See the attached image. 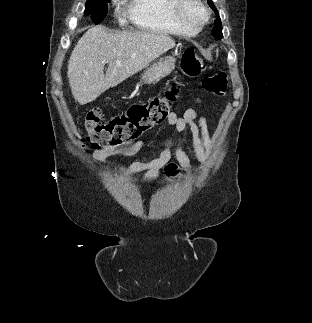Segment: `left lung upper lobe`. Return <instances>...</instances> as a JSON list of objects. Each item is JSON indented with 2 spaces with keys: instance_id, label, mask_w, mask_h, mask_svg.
Wrapping results in <instances>:
<instances>
[{
  "instance_id": "1",
  "label": "left lung upper lobe",
  "mask_w": 312,
  "mask_h": 323,
  "mask_svg": "<svg viewBox=\"0 0 312 323\" xmlns=\"http://www.w3.org/2000/svg\"><path fill=\"white\" fill-rule=\"evenodd\" d=\"M207 2L209 4L210 8L217 13V9H216L215 5L213 4L212 0H207ZM213 36L216 39L223 37L222 24H221V20L219 17L215 20V27L213 29Z\"/></svg>"
}]
</instances>
